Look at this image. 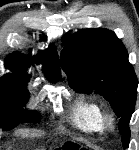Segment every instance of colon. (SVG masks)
Here are the masks:
<instances>
[{"label":"colon","mask_w":139,"mask_h":150,"mask_svg":"<svg viewBox=\"0 0 139 150\" xmlns=\"http://www.w3.org/2000/svg\"><path fill=\"white\" fill-rule=\"evenodd\" d=\"M63 149L64 150H80L79 148H77L72 143L67 144L66 146L63 147ZM81 150H84V149H81Z\"/></svg>","instance_id":"obj_1"}]
</instances>
